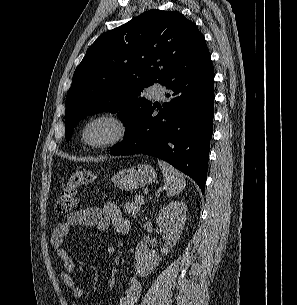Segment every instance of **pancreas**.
<instances>
[{
	"instance_id": "pancreas-1",
	"label": "pancreas",
	"mask_w": 297,
	"mask_h": 305,
	"mask_svg": "<svg viewBox=\"0 0 297 305\" xmlns=\"http://www.w3.org/2000/svg\"><path fill=\"white\" fill-rule=\"evenodd\" d=\"M140 199L141 196L138 195L135 197L134 201L125 203L123 205L124 212L132 217H135L138 214L141 205L144 203V201L139 203Z\"/></svg>"
}]
</instances>
